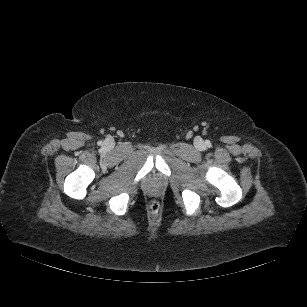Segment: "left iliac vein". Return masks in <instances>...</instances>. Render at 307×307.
Instances as JSON below:
<instances>
[{"label":"left iliac vein","mask_w":307,"mask_h":307,"mask_svg":"<svg viewBox=\"0 0 307 307\" xmlns=\"http://www.w3.org/2000/svg\"><path fill=\"white\" fill-rule=\"evenodd\" d=\"M195 145L199 150H203L205 148V144L200 138L196 139Z\"/></svg>","instance_id":"obj_1"}]
</instances>
